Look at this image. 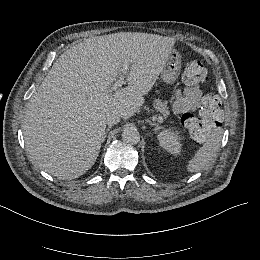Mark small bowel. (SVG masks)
I'll return each mask as SVG.
<instances>
[{
    "label": "small bowel",
    "mask_w": 260,
    "mask_h": 260,
    "mask_svg": "<svg viewBox=\"0 0 260 260\" xmlns=\"http://www.w3.org/2000/svg\"><path fill=\"white\" fill-rule=\"evenodd\" d=\"M173 111L175 114L194 112L199 109L205 111L208 94L199 86L188 85L183 90L176 89L173 93Z\"/></svg>",
    "instance_id": "small-bowel-1"
}]
</instances>
